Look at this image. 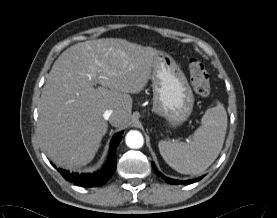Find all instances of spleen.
<instances>
[{
    "label": "spleen",
    "instance_id": "3e777b00",
    "mask_svg": "<svg viewBox=\"0 0 277 218\" xmlns=\"http://www.w3.org/2000/svg\"><path fill=\"white\" fill-rule=\"evenodd\" d=\"M227 113L224 106L206 110L201 126L188 142L161 140L159 151L165 162L181 174H200L218 157L225 140Z\"/></svg>",
    "mask_w": 277,
    "mask_h": 218
}]
</instances>
